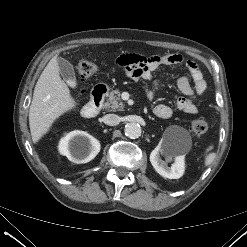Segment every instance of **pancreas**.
Wrapping results in <instances>:
<instances>
[{
  "label": "pancreas",
  "mask_w": 247,
  "mask_h": 247,
  "mask_svg": "<svg viewBox=\"0 0 247 247\" xmlns=\"http://www.w3.org/2000/svg\"><path fill=\"white\" fill-rule=\"evenodd\" d=\"M120 91L113 90L108 94L107 102L104 104V108L108 111H123L124 104L120 98Z\"/></svg>",
  "instance_id": "pancreas-1"
}]
</instances>
